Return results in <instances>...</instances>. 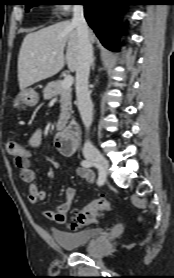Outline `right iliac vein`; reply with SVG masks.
I'll return each mask as SVG.
<instances>
[{
  "mask_svg": "<svg viewBox=\"0 0 174 278\" xmlns=\"http://www.w3.org/2000/svg\"><path fill=\"white\" fill-rule=\"evenodd\" d=\"M86 158L95 162L103 171L104 173L108 170V161L99 151H91L86 154Z\"/></svg>",
  "mask_w": 174,
  "mask_h": 278,
  "instance_id": "obj_1",
  "label": "right iliac vein"
}]
</instances>
